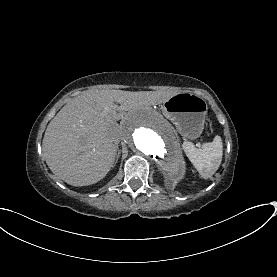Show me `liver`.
<instances>
[{
	"mask_svg": "<svg viewBox=\"0 0 277 277\" xmlns=\"http://www.w3.org/2000/svg\"><path fill=\"white\" fill-rule=\"evenodd\" d=\"M172 96L160 91H86L65 105L48 124L42 149L50 170L72 186H87L103 179L113 167L127 116L116 109L137 111L158 105ZM115 103L120 104L118 107ZM121 118L120 124L117 119Z\"/></svg>",
	"mask_w": 277,
	"mask_h": 277,
	"instance_id": "6515ba94",
	"label": "liver"
}]
</instances>
